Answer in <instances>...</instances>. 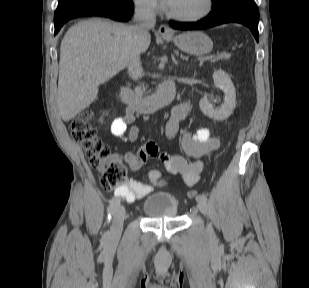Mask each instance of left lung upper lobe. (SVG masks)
Instances as JSON below:
<instances>
[{"mask_svg":"<svg viewBox=\"0 0 309 288\" xmlns=\"http://www.w3.org/2000/svg\"><path fill=\"white\" fill-rule=\"evenodd\" d=\"M227 0H212L213 4H212V8L215 9L217 7H219L220 5H222L223 3H225Z\"/></svg>","mask_w":309,"mask_h":288,"instance_id":"5c2ea615","label":"left lung upper lobe"}]
</instances>
